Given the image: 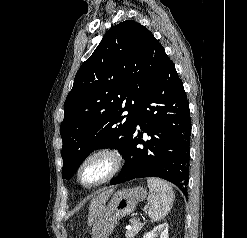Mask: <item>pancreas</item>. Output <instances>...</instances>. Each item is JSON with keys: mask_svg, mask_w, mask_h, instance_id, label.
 <instances>
[{"mask_svg": "<svg viewBox=\"0 0 247 238\" xmlns=\"http://www.w3.org/2000/svg\"><path fill=\"white\" fill-rule=\"evenodd\" d=\"M143 228V223L138 222L137 220H131V227L126 230V238H134L136 234Z\"/></svg>", "mask_w": 247, "mask_h": 238, "instance_id": "1", "label": "pancreas"}]
</instances>
